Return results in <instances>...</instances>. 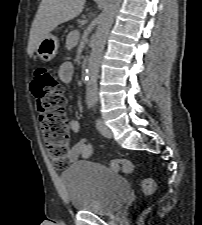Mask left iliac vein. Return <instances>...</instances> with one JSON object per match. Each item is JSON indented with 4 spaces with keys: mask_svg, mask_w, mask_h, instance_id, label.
I'll return each mask as SVG.
<instances>
[{
    "mask_svg": "<svg viewBox=\"0 0 202 225\" xmlns=\"http://www.w3.org/2000/svg\"><path fill=\"white\" fill-rule=\"evenodd\" d=\"M96 127H97L98 131L104 137H106V138H112L113 137V133L111 132V130L109 129V127L104 124V122L101 119H97V121H96Z\"/></svg>",
    "mask_w": 202,
    "mask_h": 225,
    "instance_id": "left-iliac-vein-1",
    "label": "left iliac vein"
}]
</instances>
